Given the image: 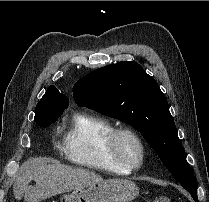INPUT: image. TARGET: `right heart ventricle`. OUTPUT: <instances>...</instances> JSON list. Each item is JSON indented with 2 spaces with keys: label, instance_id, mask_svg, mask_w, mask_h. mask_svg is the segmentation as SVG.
Listing matches in <instances>:
<instances>
[{
  "label": "right heart ventricle",
  "instance_id": "right-heart-ventricle-1",
  "mask_svg": "<svg viewBox=\"0 0 209 202\" xmlns=\"http://www.w3.org/2000/svg\"><path fill=\"white\" fill-rule=\"evenodd\" d=\"M114 124L92 113L79 114L72 120L63 137V155L71 163L113 173H130L117 164L106 150L107 138Z\"/></svg>",
  "mask_w": 209,
  "mask_h": 202
}]
</instances>
